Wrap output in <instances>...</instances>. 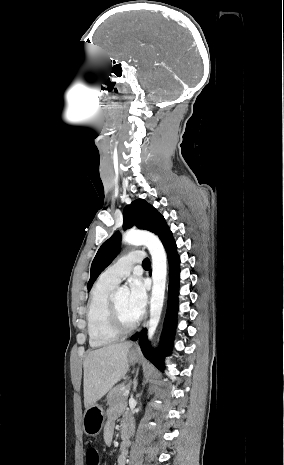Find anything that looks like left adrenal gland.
I'll return each mask as SVG.
<instances>
[{
	"instance_id": "obj_1",
	"label": "left adrenal gland",
	"mask_w": 284,
	"mask_h": 465,
	"mask_svg": "<svg viewBox=\"0 0 284 465\" xmlns=\"http://www.w3.org/2000/svg\"><path fill=\"white\" fill-rule=\"evenodd\" d=\"M136 387H137V381L135 379V381H133V391H135Z\"/></svg>"
}]
</instances>
